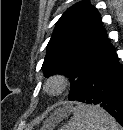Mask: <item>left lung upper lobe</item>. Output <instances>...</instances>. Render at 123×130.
I'll return each instance as SVG.
<instances>
[{
	"instance_id": "obj_1",
	"label": "left lung upper lobe",
	"mask_w": 123,
	"mask_h": 130,
	"mask_svg": "<svg viewBox=\"0 0 123 130\" xmlns=\"http://www.w3.org/2000/svg\"><path fill=\"white\" fill-rule=\"evenodd\" d=\"M100 14L89 1L68 8L57 21L42 70L45 77L63 74L70 78L69 100L76 101L95 62L112 46Z\"/></svg>"
}]
</instances>
